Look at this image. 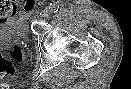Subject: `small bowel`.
<instances>
[{
  "label": "small bowel",
  "instance_id": "1",
  "mask_svg": "<svg viewBox=\"0 0 131 89\" xmlns=\"http://www.w3.org/2000/svg\"><path fill=\"white\" fill-rule=\"evenodd\" d=\"M35 9V2L34 0H26L23 4L21 5H16L15 3L12 5V12L11 14H21L24 16H28L33 13ZM10 18L8 17L7 12H0V23H9Z\"/></svg>",
  "mask_w": 131,
  "mask_h": 89
}]
</instances>
